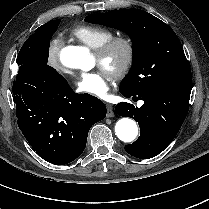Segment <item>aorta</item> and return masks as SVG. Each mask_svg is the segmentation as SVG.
Returning a JSON list of instances; mask_svg holds the SVG:
<instances>
[{"label":"aorta","mask_w":209,"mask_h":209,"mask_svg":"<svg viewBox=\"0 0 209 209\" xmlns=\"http://www.w3.org/2000/svg\"><path fill=\"white\" fill-rule=\"evenodd\" d=\"M61 63L72 69L88 71L92 69L94 62L88 48L83 46H67L61 50ZM115 133L123 142H132L138 135V127L134 120L121 118L116 122Z\"/></svg>","instance_id":"aorta-1"}]
</instances>
